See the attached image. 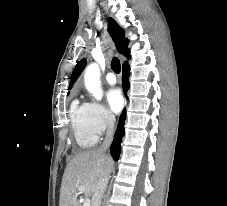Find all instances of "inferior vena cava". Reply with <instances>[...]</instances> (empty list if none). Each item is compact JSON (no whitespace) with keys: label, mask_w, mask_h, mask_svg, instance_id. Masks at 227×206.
<instances>
[{"label":"inferior vena cava","mask_w":227,"mask_h":206,"mask_svg":"<svg viewBox=\"0 0 227 206\" xmlns=\"http://www.w3.org/2000/svg\"><path fill=\"white\" fill-rule=\"evenodd\" d=\"M114 124H115V117H114V115L109 114L106 138H105L103 144L101 145V147L98 149L102 153H105V151L109 148V146L112 142ZM107 184H108V176L103 175L101 177V179L99 180V182L96 186L95 192L93 194L94 206L101 205V200H102L104 191L106 190Z\"/></svg>","instance_id":"inferior-vena-cava-1"}]
</instances>
